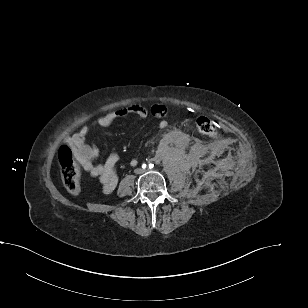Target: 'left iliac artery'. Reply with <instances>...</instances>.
Returning <instances> with one entry per match:
<instances>
[{"label":"left iliac artery","instance_id":"44dca946","mask_svg":"<svg viewBox=\"0 0 308 308\" xmlns=\"http://www.w3.org/2000/svg\"><path fill=\"white\" fill-rule=\"evenodd\" d=\"M153 166H154L153 164H149V168H150V169L153 168Z\"/></svg>","mask_w":308,"mask_h":308}]
</instances>
